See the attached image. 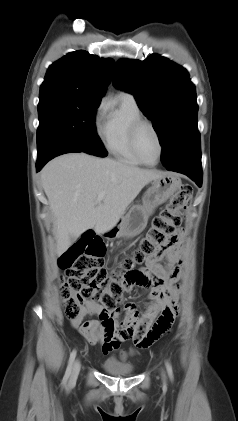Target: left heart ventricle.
Listing matches in <instances>:
<instances>
[{
	"mask_svg": "<svg viewBox=\"0 0 238 421\" xmlns=\"http://www.w3.org/2000/svg\"><path fill=\"white\" fill-rule=\"evenodd\" d=\"M138 148L142 157L149 163L158 158L159 145L156 136L148 125H144L138 135Z\"/></svg>",
	"mask_w": 238,
	"mask_h": 421,
	"instance_id": "1",
	"label": "left heart ventricle"
}]
</instances>
